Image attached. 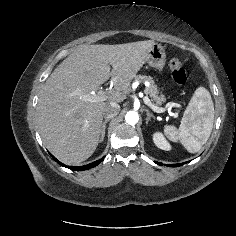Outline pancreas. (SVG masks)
<instances>
[{
  "instance_id": "1",
  "label": "pancreas",
  "mask_w": 236,
  "mask_h": 236,
  "mask_svg": "<svg viewBox=\"0 0 236 236\" xmlns=\"http://www.w3.org/2000/svg\"><path fill=\"white\" fill-rule=\"evenodd\" d=\"M135 80L139 82L148 81L150 83V85L146 87L145 93L149 95L157 105H161L166 101L165 96L159 93L157 85L155 84L152 77L146 75H138L135 77Z\"/></svg>"
}]
</instances>
